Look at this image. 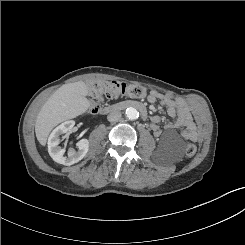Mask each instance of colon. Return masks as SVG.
Instances as JSON below:
<instances>
[{"label":"colon","instance_id":"colon-1","mask_svg":"<svg viewBox=\"0 0 245 245\" xmlns=\"http://www.w3.org/2000/svg\"><path fill=\"white\" fill-rule=\"evenodd\" d=\"M146 93L145 89L138 85L126 84L119 81H99L92 85L91 96V110L98 111L100 103L105 100H113L122 96L142 97ZM197 151L194 144H188L185 148V155L193 157Z\"/></svg>","mask_w":245,"mask_h":245}]
</instances>
